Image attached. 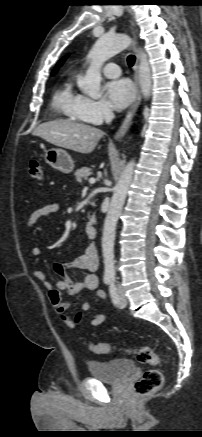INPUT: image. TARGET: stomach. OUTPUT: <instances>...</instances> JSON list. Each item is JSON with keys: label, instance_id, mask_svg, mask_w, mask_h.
<instances>
[{"label": "stomach", "instance_id": "stomach-1", "mask_svg": "<svg viewBox=\"0 0 202 437\" xmlns=\"http://www.w3.org/2000/svg\"><path fill=\"white\" fill-rule=\"evenodd\" d=\"M44 160L47 164L64 174H69L74 169V161L63 149L51 148L45 151Z\"/></svg>", "mask_w": 202, "mask_h": 437}]
</instances>
